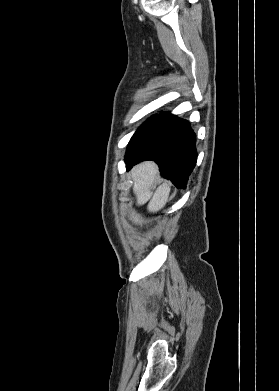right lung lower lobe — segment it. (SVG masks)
<instances>
[{
	"label": "right lung lower lobe",
	"instance_id": "98d812e1",
	"mask_svg": "<svg viewBox=\"0 0 279 391\" xmlns=\"http://www.w3.org/2000/svg\"><path fill=\"white\" fill-rule=\"evenodd\" d=\"M195 133L187 120L162 112L135 140L129 143L125 163L130 170L144 160H154L161 175L185 187L193 171L197 152Z\"/></svg>",
	"mask_w": 279,
	"mask_h": 391
}]
</instances>
